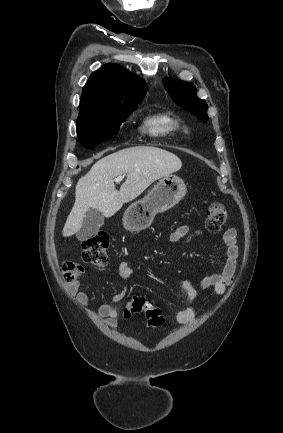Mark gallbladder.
Here are the masks:
<instances>
[{"label": "gallbladder", "instance_id": "obj_1", "mask_svg": "<svg viewBox=\"0 0 283 433\" xmlns=\"http://www.w3.org/2000/svg\"><path fill=\"white\" fill-rule=\"evenodd\" d=\"M104 225V214L98 208H89L83 219L82 227L76 237L78 241H87Z\"/></svg>", "mask_w": 283, "mask_h": 433}]
</instances>
